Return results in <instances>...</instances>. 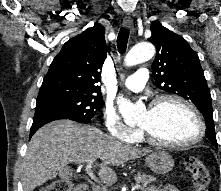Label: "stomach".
I'll use <instances>...</instances> for the list:
<instances>
[{
    "label": "stomach",
    "instance_id": "0dacf381",
    "mask_svg": "<svg viewBox=\"0 0 221 191\" xmlns=\"http://www.w3.org/2000/svg\"><path fill=\"white\" fill-rule=\"evenodd\" d=\"M146 165L156 174H166L174 167V160L165 151L153 152L145 158Z\"/></svg>",
    "mask_w": 221,
    "mask_h": 191
}]
</instances>
